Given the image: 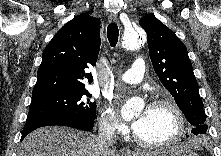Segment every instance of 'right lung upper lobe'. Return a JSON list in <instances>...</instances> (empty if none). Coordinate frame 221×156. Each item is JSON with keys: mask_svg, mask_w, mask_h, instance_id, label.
Returning a JSON list of instances; mask_svg holds the SVG:
<instances>
[{"mask_svg": "<svg viewBox=\"0 0 221 156\" xmlns=\"http://www.w3.org/2000/svg\"><path fill=\"white\" fill-rule=\"evenodd\" d=\"M100 49L99 20L82 13L66 23L46 46L32 99L86 89Z\"/></svg>", "mask_w": 221, "mask_h": 156, "instance_id": "right-lung-upper-lobe-1", "label": "right lung upper lobe"}]
</instances>
